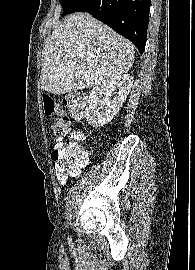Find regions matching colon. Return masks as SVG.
Returning <instances> with one entry per match:
<instances>
[{"mask_svg": "<svg viewBox=\"0 0 195 270\" xmlns=\"http://www.w3.org/2000/svg\"><path fill=\"white\" fill-rule=\"evenodd\" d=\"M64 104L75 119H81L87 104L86 96L79 92L68 93L64 97ZM43 108L47 115L55 116L52 127L57 137H63L69 129V119L58 102L50 95H43ZM83 135L73 132L64 143L52 150V162L60 182H65L69 175L78 173L87 161V153L81 146Z\"/></svg>", "mask_w": 195, "mask_h": 270, "instance_id": "colon-1", "label": "colon"}]
</instances>
